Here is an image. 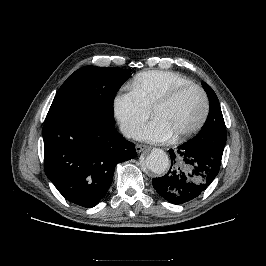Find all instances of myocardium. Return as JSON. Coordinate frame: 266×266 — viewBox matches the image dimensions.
Returning a JSON list of instances; mask_svg holds the SVG:
<instances>
[{
	"label": "myocardium",
	"mask_w": 266,
	"mask_h": 266,
	"mask_svg": "<svg viewBox=\"0 0 266 266\" xmlns=\"http://www.w3.org/2000/svg\"><path fill=\"white\" fill-rule=\"evenodd\" d=\"M192 89L199 91V93L201 94L203 98V111L198 121L192 127L182 132L174 134V138L177 140L188 138L193 134L197 133L206 122L210 110V101L206 91L201 86L194 83L180 85L173 88L168 93H166L152 107V114L154 115L157 110L171 104L182 93Z\"/></svg>",
	"instance_id": "myocardium-1"
}]
</instances>
